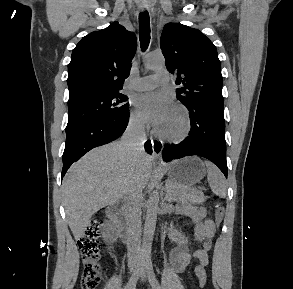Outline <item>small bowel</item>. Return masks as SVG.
<instances>
[{"mask_svg":"<svg viewBox=\"0 0 293 289\" xmlns=\"http://www.w3.org/2000/svg\"><path fill=\"white\" fill-rule=\"evenodd\" d=\"M176 213L191 218L194 224L193 241L200 245L195 252H190V239H188L181 231L169 227L168 234L174 241L175 247L170 254V262L172 268L177 272H182L193 259L198 260L199 264L195 268L196 276L206 282L205 267L208 264V254L212 249L213 239L216 233V227L211 219L206 218V210L203 207L195 205H180L176 207ZM205 285V284H204ZM203 288L204 286H201Z\"/></svg>","mask_w":293,"mask_h":289,"instance_id":"obj_1","label":"small bowel"}]
</instances>
